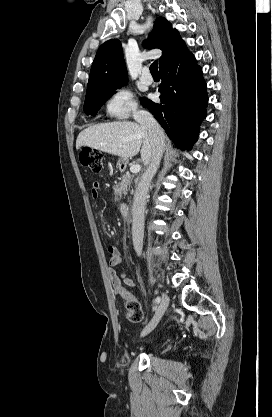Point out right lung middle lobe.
<instances>
[{
	"mask_svg": "<svg viewBox=\"0 0 272 417\" xmlns=\"http://www.w3.org/2000/svg\"><path fill=\"white\" fill-rule=\"evenodd\" d=\"M117 88L102 89L96 92L86 94L84 103V111L87 115L95 116L104 102L111 97L113 91ZM144 98L142 99V101ZM141 101V102H142Z\"/></svg>",
	"mask_w": 272,
	"mask_h": 417,
	"instance_id": "obj_1",
	"label": "right lung middle lobe"
}]
</instances>
